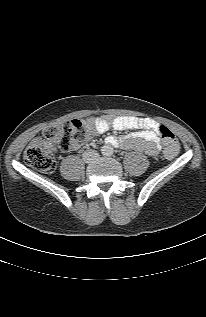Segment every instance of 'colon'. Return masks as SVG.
<instances>
[{
  "label": "colon",
  "mask_w": 206,
  "mask_h": 317,
  "mask_svg": "<svg viewBox=\"0 0 206 317\" xmlns=\"http://www.w3.org/2000/svg\"><path fill=\"white\" fill-rule=\"evenodd\" d=\"M92 128L78 120L68 121L49 127L42 132L41 137L33 140L24 152L25 162L32 168L51 173L55 170V160L51 153L53 145L61 150L69 151L74 146L86 141L92 133ZM164 151L168 157H174L179 151L176 135L165 126L160 128Z\"/></svg>",
  "instance_id": "colon-1"
}]
</instances>
